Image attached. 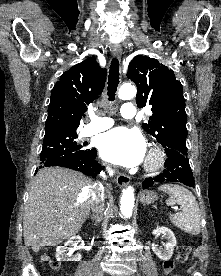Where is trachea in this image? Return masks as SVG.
Listing matches in <instances>:
<instances>
[{
  "mask_svg": "<svg viewBox=\"0 0 221 276\" xmlns=\"http://www.w3.org/2000/svg\"><path fill=\"white\" fill-rule=\"evenodd\" d=\"M118 84H119V61L115 57L111 61L109 77H108L107 95L110 101L115 100V94L117 91Z\"/></svg>",
  "mask_w": 221,
  "mask_h": 276,
  "instance_id": "obj_1",
  "label": "trachea"
}]
</instances>
